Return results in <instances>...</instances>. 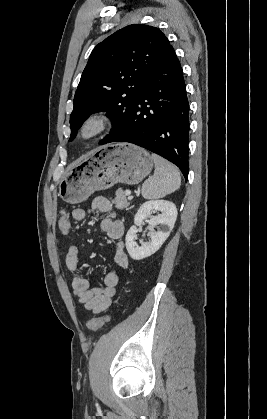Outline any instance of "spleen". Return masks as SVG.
Masks as SVG:
<instances>
[{
	"mask_svg": "<svg viewBox=\"0 0 267 419\" xmlns=\"http://www.w3.org/2000/svg\"><path fill=\"white\" fill-rule=\"evenodd\" d=\"M155 163L154 175L146 180L141 189V194L145 199H157L178 190L181 185L180 173L173 164L152 154Z\"/></svg>",
	"mask_w": 267,
	"mask_h": 419,
	"instance_id": "1",
	"label": "spleen"
}]
</instances>
